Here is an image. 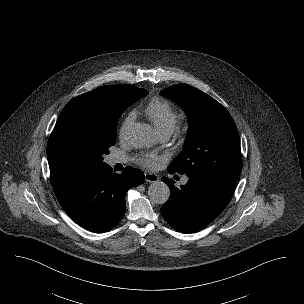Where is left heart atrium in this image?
Here are the masks:
<instances>
[{"mask_svg":"<svg viewBox=\"0 0 304 304\" xmlns=\"http://www.w3.org/2000/svg\"><path fill=\"white\" fill-rule=\"evenodd\" d=\"M160 159V157L155 155L142 154L138 156L137 162L143 167L154 168L158 164Z\"/></svg>","mask_w":304,"mask_h":304,"instance_id":"left-heart-atrium-1","label":"left heart atrium"}]
</instances>
